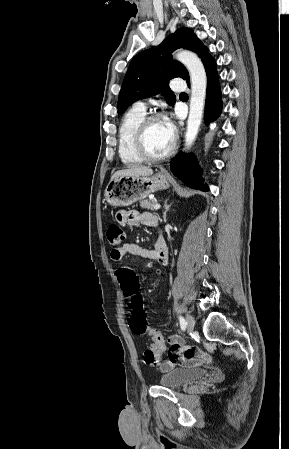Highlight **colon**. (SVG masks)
<instances>
[{"label": "colon", "mask_w": 289, "mask_h": 449, "mask_svg": "<svg viewBox=\"0 0 289 449\" xmlns=\"http://www.w3.org/2000/svg\"><path fill=\"white\" fill-rule=\"evenodd\" d=\"M125 239V233L117 224H111L107 229V240L112 248H118ZM117 280L124 297V303L130 305L129 326L138 335H149L152 343L144 353L145 362L156 366L165 350V340L161 333L148 325L142 306L139 281L133 268H118ZM204 353V352H203Z\"/></svg>", "instance_id": "5ec220e1"}]
</instances>
